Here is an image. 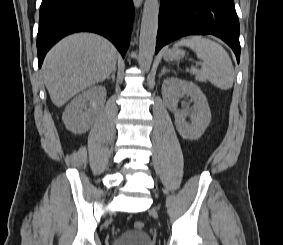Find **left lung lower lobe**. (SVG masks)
<instances>
[{
  "mask_svg": "<svg viewBox=\"0 0 283 245\" xmlns=\"http://www.w3.org/2000/svg\"><path fill=\"white\" fill-rule=\"evenodd\" d=\"M239 20L234 0H161L155 53L186 35L221 38L240 59Z\"/></svg>",
  "mask_w": 283,
  "mask_h": 245,
  "instance_id": "left-lung-lower-lobe-1",
  "label": "left lung lower lobe"
}]
</instances>
